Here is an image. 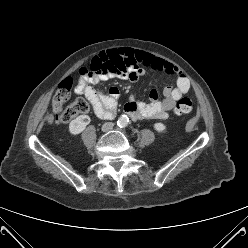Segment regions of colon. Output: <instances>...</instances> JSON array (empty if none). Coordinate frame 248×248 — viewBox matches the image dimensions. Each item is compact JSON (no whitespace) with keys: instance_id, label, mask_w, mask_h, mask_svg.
<instances>
[{"instance_id":"obj_1","label":"colon","mask_w":248,"mask_h":248,"mask_svg":"<svg viewBox=\"0 0 248 248\" xmlns=\"http://www.w3.org/2000/svg\"><path fill=\"white\" fill-rule=\"evenodd\" d=\"M127 65L124 60L115 53H110L106 58L101 60L94 58L88 66L89 74H98L106 72H121L126 70ZM73 81L66 79L62 81L55 92L53 98V110L55 112V119L58 124H67L71 122L79 114L88 112L89 105L83 99L75 100L71 105L63 107L71 95ZM193 108V102L188 97H183L177 101L174 108L176 115L189 113Z\"/></svg>"}]
</instances>
